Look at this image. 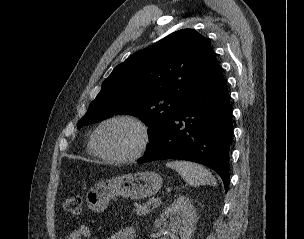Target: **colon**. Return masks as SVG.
I'll use <instances>...</instances> for the list:
<instances>
[{"label":"colon","instance_id":"1","mask_svg":"<svg viewBox=\"0 0 304 239\" xmlns=\"http://www.w3.org/2000/svg\"><path fill=\"white\" fill-rule=\"evenodd\" d=\"M62 207L65 212L78 216L83 210L82 198L78 195L69 196L63 200Z\"/></svg>","mask_w":304,"mask_h":239}]
</instances>
